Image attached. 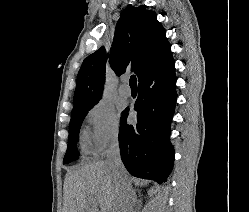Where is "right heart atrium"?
<instances>
[{
    "instance_id": "obj_1",
    "label": "right heart atrium",
    "mask_w": 249,
    "mask_h": 212,
    "mask_svg": "<svg viewBox=\"0 0 249 212\" xmlns=\"http://www.w3.org/2000/svg\"><path fill=\"white\" fill-rule=\"evenodd\" d=\"M88 126L86 140L89 150L96 156L105 155L120 140V125L116 112L107 104L98 102L85 114Z\"/></svg>"
}]
</instances>
